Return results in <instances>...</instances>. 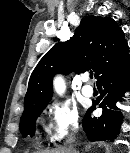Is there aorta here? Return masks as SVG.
<instances>
[{
    "mask_svg": "<svg viewBox=\"0 0 130 153\" xmlns=\"http://www.w3.org/2000/svg\"><path fill=\"white\" fill-rule=\"evenodd\" d=\"M54 89L59 95H63L66 89L65 82L61 76H57L54 79Z\"/></svg>",
    "mask_w": 130,
    "mask_h": 153,
    "instance_id": "obj_1",
    "label": "aorta"
}]
</instances>
